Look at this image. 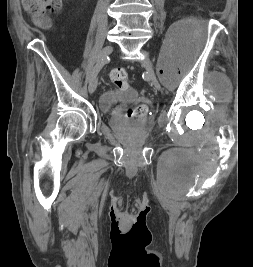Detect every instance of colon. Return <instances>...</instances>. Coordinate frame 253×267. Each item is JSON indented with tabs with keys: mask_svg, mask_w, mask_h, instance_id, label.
<instances>
[{
	"mask_svg": "<svg viewBox=\"0 0 253 267\" xmlns=\"http://www.w3.org/2000/svg\"><path fill=\"white\" fill-rule=\"evenodd\" d=\"M23 7L26 11L34 16H46L50 13L58 12L62 6V0H22ZM111 81L118 87H127L129 77L123 68H115L110 73ZM145 113L143 107L128 109L125 113L127 120L141 118Z\"/></svg>",
	"mask_w": 253,
	"mask_h": 267,
	"instance_id": "5ec220e1",
	"label": "colon"
}]
</instances>
